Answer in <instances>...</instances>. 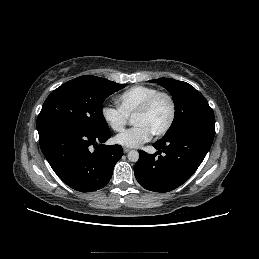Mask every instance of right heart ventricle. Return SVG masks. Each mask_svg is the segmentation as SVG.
Returning <instances> with one entry per match:
<instances>
[{
	"mask_svg": "<svg viewBox=\"0 0 259 259\" xmlns=\"http://www.w3.org/2000/svg\"><path fill=\"white\" fill-rule=\"evenodd\" d=\"M156 92H158V89L155 87L135 85L120 93L116 100L120 110L127 117H131L146 101V99Z\"/></svg>",
	"mask_w": 259,
	"mask_h": 259,
	"instance_id": "right-heart-ventricle-1",
	"label": "right heart ventricle"
}]
</instances>
